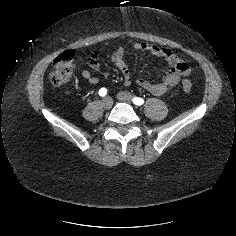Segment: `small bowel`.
I'll return each mask as SVG.
<instances>
[{
	"label": "small bowel",
	"instance_id": "c3829d8e",
	"mask_svg": "<svg viewBox=\"0 0 236 236\" xmlns=\"http://www.w3.org/2000/svg\"><path fill=\"white\" fill-rule=\"evenodd\" d=\"M133 49L137 51L148 52L154 56L162 58L170 66L169 71L163 77L161 82H151L142 78L136 80V83L140 87L151 94L161 96L168 93L179 83L182 77L187 76L190 73L189 64L169 48L160 47L149 42H138L133 44ZM103 53L104 50L100 49L95 51L91 55V58L89 60V67L91 70H100L98 60ZM111 57L115 66L123 74L124 85L130 86L133 82V79L127 61L125 59V49L122 46L116 47L111 52ZM81 75L91 85H96L99 83V77L94 75L87 69L82 70ZM103 76H107V73L104 72Z\"/></svg>",
	"mask_w": 236,
	"mask_h": 236
}]
</instances>
